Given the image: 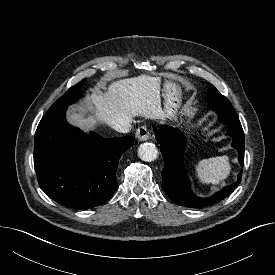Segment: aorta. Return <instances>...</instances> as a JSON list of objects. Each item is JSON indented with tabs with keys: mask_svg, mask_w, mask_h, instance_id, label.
I'll return each instance as SVG.
<instances>
[{
	"mask_svg": "<svg viewBox=\"0 0 275 275\" xmlns=\"http://www.w3.org/2000/svg\"><path fill=\"white\" fill-rule=\"evenodd\" d=\"M158 150L153 143L145 142L138 148V156L145 162L154 161L157 158Z\"/></svg>",
	"mask_w": 275,
	"mask_h": 275,
	"instance_id": "obj_1",
	"label": "aorta"
}]
</instances>
